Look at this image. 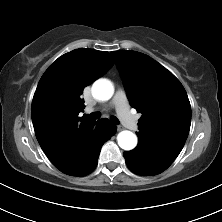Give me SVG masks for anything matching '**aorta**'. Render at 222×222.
<instances>
[{"mask_svg": "<svg viewBox=\"0 0 222 222\" xmlns=\"http://www.w3.org/2000/svg\"><path fill=\"white\" fill-rule=\"evenodd\" d=\"M114 92L113 85L106 79H99L92 86L93 96L100 100H109ZM118 145L124 150H132L137 144V137L131 131L125 130L117 136Z\"/></svg>", "mask_w": 222, "mask_h": 222, "instance_id": "762f6f07", "label": "aorta"}]
</instances>
